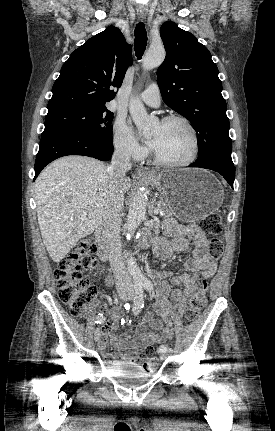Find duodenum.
Masks as SVG:
<instances>
[{
    "instance_id": "410a0bca",
    "label": "duodenum",
    "mask_w": 275,
    "mask_h": 431,
    "mask_svg": "<svg viewBox=\"0 0 275 431\" xmlns=\"http://www.w3.org/2000/svg\"><path fill=\"white\" fill-rule=\"evenodd\" d=\"M94 238L98 246V255L102 261H108L110 258L109 245L105 230L99 226L94 232ZM147 246V244H145Z\"/></svg>"
}]
</instances>
